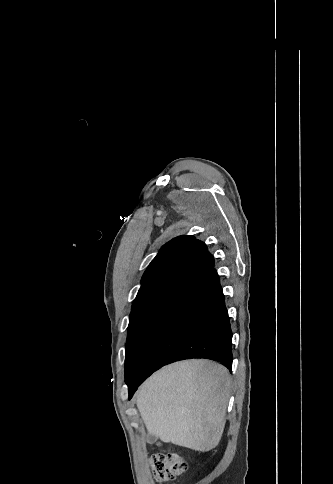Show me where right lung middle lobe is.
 I'll return each mask as SVG.
<instances>
[{
    "mask_svg": "<svg viewBox=\"0 0 333 484\" xmlns=\"http://www.w3.org/2000/svg\"><path fill=\"white\" fill-rule=\"evenodd\" d=\"M165 297L166 296H163L148 301L131 311L125 352L126 383H128L137 361L139 346L145 333L146 326L153 312Z\"/></svg>",
    "mask_w": 333,
    "mask_h": 484,
    "instance_id": "right-lung-middle-lobe-1",
    "label": "right lung middle lobe"
}]
</instances>
